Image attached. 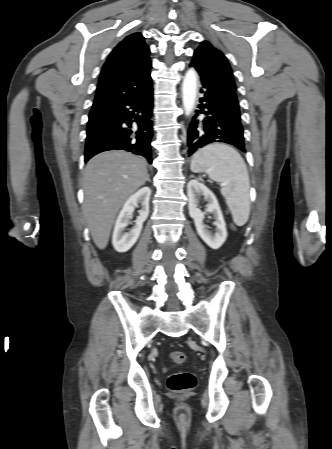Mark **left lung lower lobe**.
Returning <instances> with one entry per match:
<instances>
[{"label":"left lung lower lobe","mask_w":332,"mask_h":449,"mask_svg":"<svg viewBox=\"0 0 332 449\" xmlns=\"http://www.w3.org/2000/svg\"><path fill=\"white\" fill-rule=\"evenodd\" d=\"M190 66L199 74L202 97L188 128V155L211 143H227L246 152L236 91L211 74ZM199 115L202 116L197 119Z\"/></svg>","instance_id":"obj_1"}]
</instances>
